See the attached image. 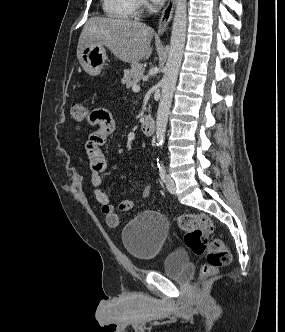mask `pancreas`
Returning <instances> with one entry per match:
<instances>
[{
	"mask_svg": "<svg viewBox=\"0 0 285 332\" xmlns=\"http://www.w3.org/2000/svg\"><path fill=\"white\" fill-rule=\"evenodd\" d=\"M143 73L144 69L142 64H133L129 69L124 71L122 83L125 84L127 88L132 87L143 78Z\"/></svg>",
	"mask_w": 285,
	"mask_h": 332,
	"instance_id": "1",
	"label": "pancreas"
}]
</instances>
